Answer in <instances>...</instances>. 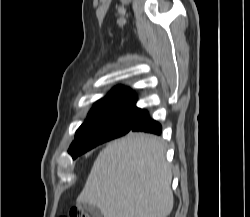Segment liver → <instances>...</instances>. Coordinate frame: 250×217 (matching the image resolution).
Listing matches in <instances>:
<instances>
[{"label": "liver", "instance_id": "liver-1", "mask_svg": "<svg viewBox=\"0 0 250 217\" xmlns=\"http://www.w3.org/2000/svg\"><path fill=\"white\" fill-rule=\"evenodd\" d=\"M171 182L162 141L129 134L99 153L77 202L96 206L104 217H167Z\"/></svg>", "mask_w": 250, "mask_h": 217}]
</instances>
